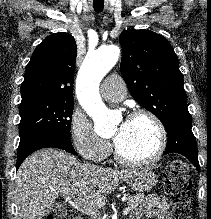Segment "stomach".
Returning a JSON list of instances; mask_svg holds the SVG:
<instances>
[{
  "mask_svg": "<svg viewBox=\"0 0 211 219\" xmlns=\"http://www.w3.org/2000/svg\"><path fill=\"white\" fill-rule=\"evenodd\" d=\"M127 182L132 190L144 192L151 190L157 184L158 176L149 168H141Z\"/></svg>",
  "mask_w": 211,
  "mask_h": 219,
  "instance_id": "0dacf381",
  "label": "stomach"
}]
</instances>
